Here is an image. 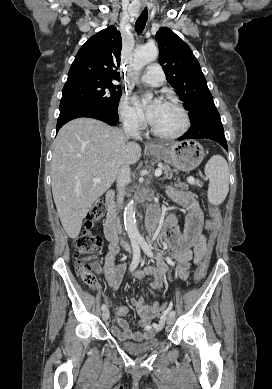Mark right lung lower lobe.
I'll use <instances>...</instances> for the list:
<instances>
[{"label":"right lung lower lobe","mask_w":272,"mask_h":389,"mask_svg":"<svg viewBox=\"0 0 272 389\" xmlns=\"http://www.w3.org/2000/svg\"><path fill=\"white\" fill-rule=\"evenodd\" d=\"M59 109L60 115L57 121V131L68 121L79 117L95 118L110 125H115L118 122L117 111L107 109L87 100H61Z\"/></svg>","instance_id":"right-lung-lower-lobe-1"}]
</instances>
